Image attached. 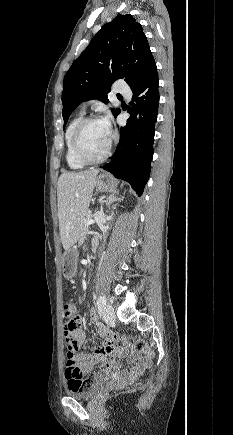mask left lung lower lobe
<instances>
[{
	"label": "left lung lower lobe",
	"instance_id": "left-lung-lower-lobe-1",
	"mask_svg": "<svg viewBox=\"0 0 233 435\" xmlns=\"http://www.w3.org/2000/svg\"><path fill=\"white\" fill-rule=\"evenodd\" d=\"M158 86V73L154 63L130 87L133 98L128 113L131 116L126 126L120 128L121 139L111 161L102 166L116 178L127 181L139 196L143 193L151 170L159 105Z\"/></svg>",
	"mask_w": 233,
	"mask_h": 435
}]
</instances>
